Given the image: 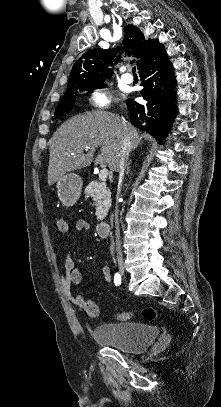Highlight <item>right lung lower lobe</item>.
<instances>
[{
	"mask_svg": "<svg viewBox=\"0 0 221 407\" xmlns=\"http://www.w3.org/2000/svg\"><path fill=\"white\" fill-rule=\"evenodd\" d=\"M142 97L146 104L127 101L131 122L160 140L172 129L176 116L175 76L172 63L162 49L139 70Z\"/></svg>",
	"mask_w": 221,
	"mask_h": 407,
	"instance_id": "right-lung-lower-lobe-1",
	"label": "right lung lower lobe"
}]
</instances>
